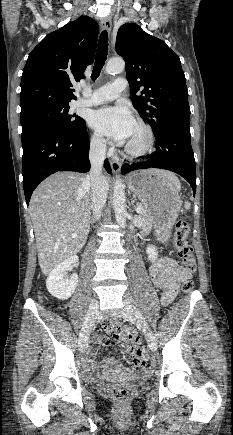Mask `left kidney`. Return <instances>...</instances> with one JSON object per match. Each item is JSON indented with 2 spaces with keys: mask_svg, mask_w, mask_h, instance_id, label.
I'll return each mask as SVG.
<instances>
[{
  "mask_svg": "<svg viewBox=\"0 0 233 435\" xmlns=\"http://www.w3.org/2000/svg\"><path fill=\"white\" fill-rule=\"evenodd\" d=\"M146 253L148 254L149 260L155 261L158 257L157 248L153 245L147 246Z\"/></svg>",
  "mask_w": 233,
  "mask_h": 435,
  "instance_id": "5707ae66",
  "label": "left kidney"
}]
</instances>
